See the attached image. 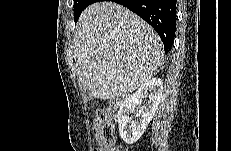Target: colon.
<instances>
[{"label": "colon", "instance_id": "obj_1", "mask_svg": "<svg viewBox=\"0 0 231 151\" xmlns=\"http://www.w3.org/2000/svg\"><path fill=\"white\" fill-rule=\"evenodd\" d=\"M95 119V126L98 139L104 144L109 145L108 151H121L120 148L113 146L114 128L112 124L111 113L105 110H99L96 113Z\"/></svg>", "mask_w": 231, "mask_h": 151}]
</instances>
